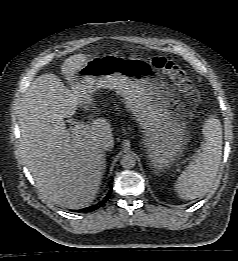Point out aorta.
<instances>
[{
  "instance_id": "762f6f07",
  "label": "aorta",
  "mask_w": 238,
  "mask_h": 261,
  "mask_svg": "<svg viewBox=\"0 0 238 261\" xmlns=\"http://www.w3.org/2000/svg\"><path fill=\"white\" fill-rule=\"evenodd\" d=\"M120 164L125 169H131L136 165V158L133 154H124L121 157Z\"/></svg>"
}]
</instances>
